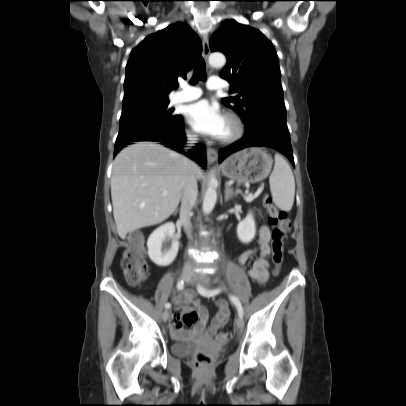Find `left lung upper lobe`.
I'll return each instance as SVG.
<instances>
[{
	"mask_svg": "<svg viewBox=\"0 0 406 406\" xmlns=\"http://www.w3.org/2000/svg\"><path fill=\"white\" fill-rule=\"evenodd\" d=\"M211 51H221L227 65L220 76L231 83L233 97L223 98L243 122L272 120L286 124L278 56L273 44L257 29L226 20L210 38Z\"/></svg>",
	"mask_w": 406,
	"mask_h": 406,
	"instance_id": "1",
	"label": "left lung upper lobe"
}]
</instances>
